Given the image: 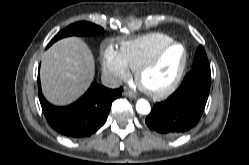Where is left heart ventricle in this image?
Returning <instances> with one entry per match:
<instances>
[{
	"label": "left heart ventricle",
	"instance_id": "obj_1",
	"mask_svg": "<svg viewBox=\"0 0 249 165\" xmlns=\"http://www.w3.org/2000/svg\"><path fill=\"white\" fill-rule=\"evenodd\" d=\"M182 57L183 50L181 47L170 49L161 62L144 75L143 83L153 88L165 86L173 78Z\"/></svg>",
	"mask_w": 249,
	"mask_h": 165
}]
</instances>
